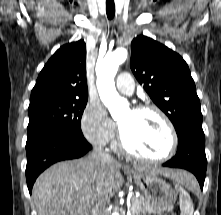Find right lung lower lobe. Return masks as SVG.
Segmentation results:
<instances>
[{
  "label": "right lung lower lobe",
  "instance_id": "98d812e1",
  "mask_svg": "<svg viewBox=\"0 0 221 215\" xmlns=\"http://www.w3.org/2000/svg\"><path fill=\"white\" fill-rule=\"evenodd\" d=\"M92 146L84 136L66 133L49 134L26 143V179L31 194L33 184L50 165L85 155Z\"/></svg>",
  "mask_w": 221,
  "mask_h": 215
}]
</instances>
